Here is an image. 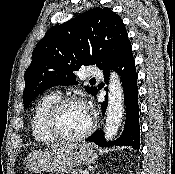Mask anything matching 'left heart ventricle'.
Wrapping results in <instances>:
<instances>
[{
    "label": "left heart ventricle",
    "mask_w": 175,
    "mask_h": 174,
    "mask_svg": "<svg viewBox=\"0 0 175 174\" xmlns=\"http://www.w3.org/2000/svg\"><path fill=\"white\" fill-rule=\"evenodd\" d=\"M90 124V113L81 104H69L58 116V127L66 135L82 133Z\"/></svg>",
    "instance_id": "left-heart-ventricle-1"
}]
</instances>
